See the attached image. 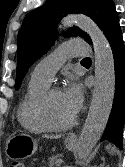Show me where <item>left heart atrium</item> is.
<instances>
[{"label":"left heart atrium","instance_id":"obj_1","mask_svg":"<svg viewBox=\"0 0 125 167\" xmlns=\"http://www.w3.org/2000/svg\"><path fill=\"white\" fill-rule=\"evenodd\" d=\"M61 93L71 112L74 115L78 113L83 102V94L80 85L71 80L67 83Z\"/></svg>","mask_w":125,"mask_h":167}]
</instances>
